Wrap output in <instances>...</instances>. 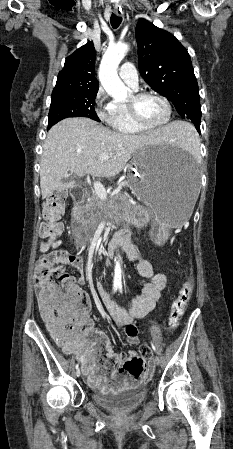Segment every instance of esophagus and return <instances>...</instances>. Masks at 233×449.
<instances>
[{
  "label": "esophagus",
  "mask_w": 233,
  "mask_h": 449,
  "mask_svg": "<svg viewBox=\"0 0 233 449\" xmlns=\"http://www.w3.org/2000/svg\"><path fill=\"white\" fill-rule=\"evenodd\" d=\"M114 13H115L117 16H119V17H122V16H123V11H122V9H119V8H117V7L114 8Z\"/></svg>",
  "instance_id": "esophagus-1"
}]
</instances>
